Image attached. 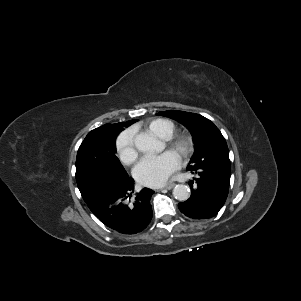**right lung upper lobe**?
I'll use <instances>...</instances> for the list:
<instances>
[{
  "instance_id": "1",
  "label": "right lung upper lobe",
  "mask_w": 301,
  "mask_h": 301,
  "mask_svg": "<svg viewBox=\"0 0 301 301\" xmlns=\"http://www.w3.org/2000/svg\"><path fill=\"white\" fill-rule=\"evenodd\" d=\"M137 120H130L126 123H116V124H106L103 125L99 128L94 129V131H103L105 133L111 134V135H116L119 134L123 129L124 126H129L136 122ZM93 131V130H92Z\"/></svg>"
}]
</instances>
